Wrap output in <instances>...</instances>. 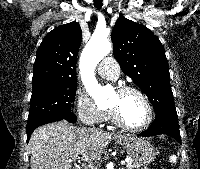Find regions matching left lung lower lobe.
<instances>
[{
    "mask_svg": "<svg viewBox=\"0 0 200 169\" xmlns=\"http://www.w3.org/2000/svg\"><path fill=\"white\" fill-rule=\"evenodd\" d=\"M166 134L181 143L178 118L176 111H160L156 114L151 126L139 134V136L150 137Z\"/></svg>",
    "mask_w": 200,
    "mask_h": 169,
    "instance_id": "left-lung-lower-lobe-1",
    "label": "left lung lower lobe"
}]
</instances>
